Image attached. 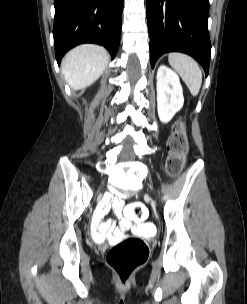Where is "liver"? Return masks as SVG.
<instances>
[{"instance_id": "1", "label": "liver", "mask_w": 247, "mask_h": 304, "mask_svg": "<svg viewBox=\"0 0 247 304\" xmlns=\"http://www.w3.org/2000/svg\"><path fill=\"white\" fill-rule=\"evenodd\" d=\"M109 54L101 46L83 44L69 51L62 61V73L72 89L94 83L109 63Z\"/></svg>"}]
</instances>
